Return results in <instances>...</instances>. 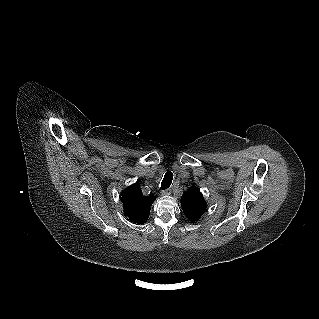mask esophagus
<instances>
[{
    "mask_svg": "<svg viewBox=\"0 0 319 319\" xmlns=\"http://www.w3.org/2000/svg\"><path fill=\"white\" fill-rule=\"evenodd\" d=\"M170 194H171V189L170 188L161 191V195L162 196L170 195Z\"/></svg>",
    "mask_w": 319,
    "mask_h": 319,
    "instance_id": "esophagus-1",
    "label": "esophagus"
}]
</instances>
